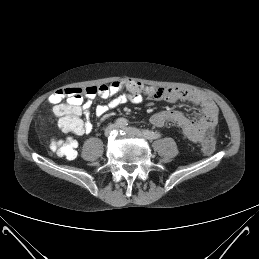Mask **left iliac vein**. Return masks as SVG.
<instances>
[{"label":"left iliac vein","instance_id":"1","mask_svg":"<svg viewBox=\"0 0 259 259\" xmlns=\"http://www.w3.org/2000/svg\"><path fill=\"white\" fill-rule=\"evenodd\" d=\"M127 134L132 135V136H143L142 132L134 127H123L122 128Z\"/></svg>","mask_w":259,"mask_h":259}]
</instances>
